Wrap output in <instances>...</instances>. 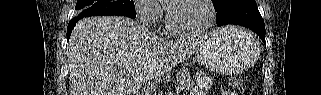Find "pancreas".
<instances>
[{"label": "pancreas", "mask_w": 321, "mask_h": 95, "mask_svg": "<svg viewBox=\"0 0 321 95\" xmlns=\"http://www.w3.org/2000/svg\"><path fill=\"white\" fill-rule=\"evenodd\" d=\"M177 81L179 83V88L184 90H192L194 82L190 73L187 70H181L177 74Z\"/></svg>", "instance_id": "cf45deb5"}]
</instances>
